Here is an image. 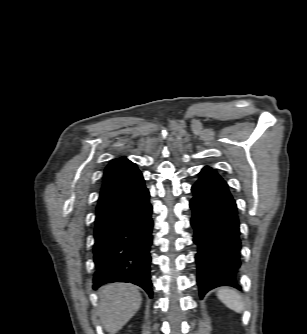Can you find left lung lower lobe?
I'll return each instance as SVG.
<instances>
[{"label":"left lung lower lobe","instance_id":"1","mask_svg":"<svg viewBox=\"0 0 307 334\" xmlns=\"http://www.w3.org/2000/svg\"><path fill=\"white\" fill-rule=\"evenodd\" d=\"M191 190L194 193L190 201L191 225L195 230L193 241L198 246L195 259L200 297L219 286L240 289L239 220L228 185L215 170L204 167Z\"/></svg>","mask_w":307,"mask_h":334}]
</instances>
